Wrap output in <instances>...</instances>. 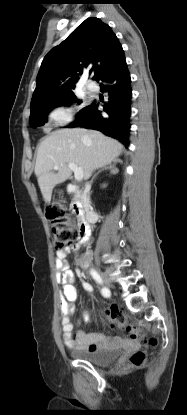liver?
I'll use <instances>...</instances> for the list:
<instances>
[{
    "label": "liver",
    "mask_w": 187,
    "mask_h": 415,
    "mask_svg": "<svg viewBox=\"0 0 187 415\" xmlns=\"http://www.w3.org/2000/svg\"><path fill=\"white\" fill-rule=\"evenodd\" d=\"M122 149L119 141L99 131L76 128L50 133L38 147L34 170L44 201L50 203L53 188L71 176L68 163L81 167L88 179L95 169L115 161ZM55 165L57 173L52 172Z\"/></svg>",
    "instance_id": "1"
}]
</instances>
